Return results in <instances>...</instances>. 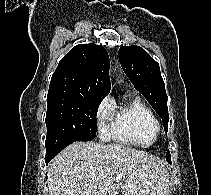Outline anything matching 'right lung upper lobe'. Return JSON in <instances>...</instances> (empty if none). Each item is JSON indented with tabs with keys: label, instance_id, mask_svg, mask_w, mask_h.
<instances>
[{
	"label": "right lung upper lobe",
	"instance_id": "right-lung-upper-lobe-1",
	"mask_svg": "<svg viewBox=\"0 0 211 195\" xmlns=\"http://www.w3.org/2000/svg\"><path fill=\"white\" fill-rule=\"evenodd\" d=\"M109 56L103 46L81 44L63 57L52 75L48 95L102 100L110 92Z\"/></svg>",
	"mask_w": 211,
	"mask_h": 195
}]
</instances>
